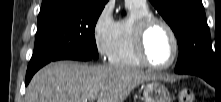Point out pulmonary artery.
<instances>
[{
  "label": "pulmonary artery",
  "instance_id": "pulmonary-artery-1",
  "mask_svg": "<svg viewBox=\"0 0 221 102\" xmlns=\"http://www.w3.org/2000/svg\"><path fill=\"white\" fill-rule=\"evenodd\" d=\"M126 2L136 3L139 5H146V0H126Z\"/></svg>",
  "mask_w": 221,
  "mask_h": 102
}]
</instances>
